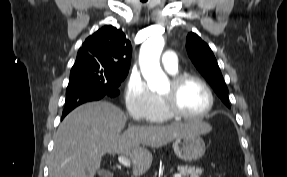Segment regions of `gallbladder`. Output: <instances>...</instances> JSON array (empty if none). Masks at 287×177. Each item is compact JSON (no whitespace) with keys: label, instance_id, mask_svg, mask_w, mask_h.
I'll return each mask as SVG.
<instances>
[{"label":"gallbladder","instance_id":"1","mask_svg":"<svg viewBox=\"0 0 287 177\" xmlns=\"http://www.w3.org/2000/svg\"><path fill=\"white\" fill-rule=\"evenodd\" d=\"M103 173V171H99V174Z\"/></svg>","mask_w":287,"mask_h":177}]
</instances>
